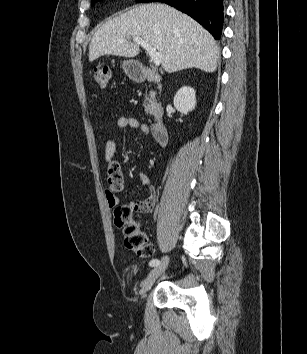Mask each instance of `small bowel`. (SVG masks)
Instances as JSON below:
<instances>
[{
	"label": "small bowel",
	"mask_w": 307,
	"mask_h": 354,
	"mask_svg": "<svg viewBox=\"0 0 307 354\" xmlns=\"http://www.w3.org/2000/svg\"><path fill=\"white\" fill-rule=\"evenodd\" d=\"M117 127L120 129L132 128L138 130L143 135L149 134V127L145 123H141L132 117H120L117 120ZM116 142L109 138L104 143V161L107 168V186L105 188V196L110 207L118 204L116 194L123 189V174L120 165L114 160L116 152ZM139 178L144 186H148V195L145 199L137 202H130L128 205L139 213H150L157 199V191L155 187L149 186V178L145 174H140Z\"/></svg>",
	"instance_id": "obj_1"
}]
</instances>
